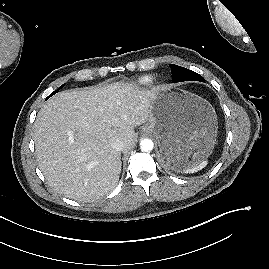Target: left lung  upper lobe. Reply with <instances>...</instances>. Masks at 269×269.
<instances>
[{
    "instance_id": "5c2ea615",
    "label": "left lung upper lobe",
    "mask_w": 269,
    "mask_h": 269,
    "mask_svg": "<svg viewBox=\"0 0 269 269\" xmlns=\"http://www.w3.org/2000/svg\"><path fill=\"white\" fill-rule=\"evenodd\" d=\"M170 67L172 72V81L174 83L183 81H205V79L201 75L197 74L194 71L175 64H170Z\"/></svg>"
}]
</instances>
